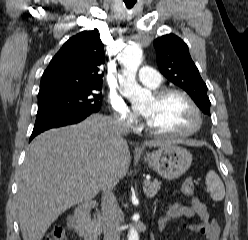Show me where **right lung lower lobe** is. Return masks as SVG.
Masks as SVG:
<instances>
[{
    "label": "right lung lower lobe",
    "instance_id": "obj_1",
    "mask_svg": "<svg viewBox=\"0 0 248 240\" xmlns=\"http://www.w3.org/2000/svg\"><path fill=\"white\" fill-rule=\"evenodd\" d=\"M92 113L93 112H70L59 109L40 110L37 112L30 141L45 130L78 123Z\"/></svg>",
    "mask_w": 248,
    "mask_h": 240
}]
</instances>
